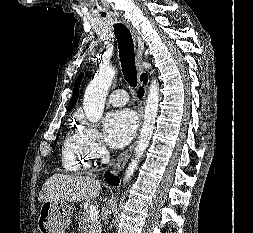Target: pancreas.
<instances>
[{"label": "pancreas", "instance_id": "obj_1", "mask_svg": "<svg viewBox=\"0 0 253 233\" xmlns=\"http://www.w3.org/2000/svg\"><path fill=\"white\" fill-rule=\"evenodd\" d=\"M81 233H101L100 220H90L87 213L83 212L78 219Z\"/></svg>", "mask_w": 253, "mask_h": 233}]
</instances>
